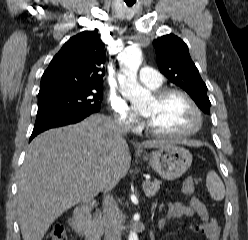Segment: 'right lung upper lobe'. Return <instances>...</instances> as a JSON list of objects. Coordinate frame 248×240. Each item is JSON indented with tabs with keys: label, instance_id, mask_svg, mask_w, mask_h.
I'll return each instance as SVG.
<instances>
[{
	"label": "right lung upper lobe",
	"instance_id": "obj_1",
	"mask_svg": "<svg viewBox=\"0 0 248 240\" xmlns=\"http://www.w3.org/2000/svg\"><path fill=\"white\" fill-rule=\"evenodd\" d=\"M104 44L96 31L70 38L44 72L38 95L77 90L102 89Z\"/></svg>",
	"mask_w": 248,
	"mask_h": 240
}]
</instances>
